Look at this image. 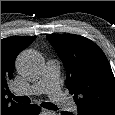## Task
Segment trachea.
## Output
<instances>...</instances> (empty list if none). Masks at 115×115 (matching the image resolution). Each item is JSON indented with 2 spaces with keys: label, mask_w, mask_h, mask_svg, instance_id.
Wrapping results in <instances>:
<instances>
[{
  "label": "trachea",
  "mask_w": 115,
  "mask_h": 115,
  "mask_svg": "<svg viewBox=\"0 0 115 115\" xmlns=\"http://www.w3.org/2000/svg\"><path fill=\"white\" fill-rule=\"evenodd\" d=\"M12 98L16 101V102H20V103H31V100L29 97L27 96H14L12 95ZM41 106L43 108L49 109V110H58V107L56 105H54L53 103H49V102H42Z\"/></svg>",
  "instance_id": "obj_1"
}]
</instances>
